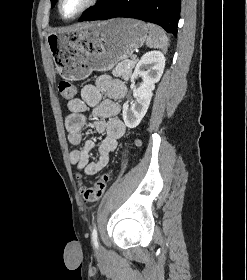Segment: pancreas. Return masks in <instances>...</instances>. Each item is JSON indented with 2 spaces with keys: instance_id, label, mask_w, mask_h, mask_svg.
Instances as JSON below:
<instances>
[{
  "instance_id": "cf45deb5",
  "label": "pancreas",
  "mask_w": 247,
  "mask_h": 280,
  "mask_svg": "<svg viewBox=\"0 0 247 280\" xmlns=\"http://www.w3.org/2000/svg\"><path fill=\"white\" fill-rule=\"evenodd\" d=\"M136 64V60L122 61L117 64L115 69L112 70V74L116 77H122L124 80H128L131 77L132 69Z\"/></svg>"
}]
</instances>
